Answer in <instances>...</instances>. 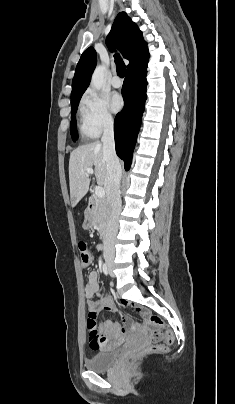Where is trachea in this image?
Segmentation results:
<instances>
[{
    "label": "trachea",
    "instance_id": "obj_1",
    "mask_svg": "<svg viewBox=\"0 0 235 404\" xmlns=\"http://www.w3.org/2000/svg\"><path fill=\"white\" fill-rule=\"evenodd\" d=\"M116 71L119 77L123 78L125 74V64L118 54H115Z\"/></svg>",
    "mask_w": 235,
    "mask_h": 404
}]
</instances>
